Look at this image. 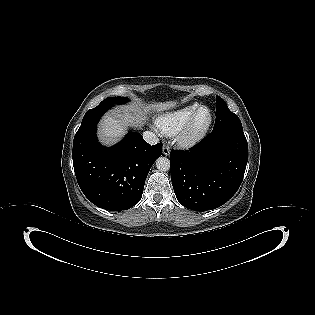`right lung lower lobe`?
Instances as JSON below:
<instances>
[{
  "label": "right lung lower lobe",
  "instance_id": "1",
  "mask_svg": "<svg viewBox=\"0 0 315 315\" xmlns=\"http://www.w3.org/2000/svg\"><path fill=\"white\" fill-rule=\"evenodd\" d=\"M114 105L88 110L73 141V166L84 195L96 206L122 211L137 204L148 172L162 154V143L147 144L139 133L129 132L106 148L96 138L101 116Z\"/></svg>",
  "mask_w": 315,
  "mask_h": 315
}]
</instances>
